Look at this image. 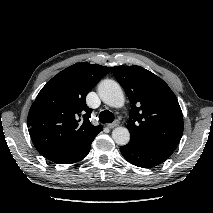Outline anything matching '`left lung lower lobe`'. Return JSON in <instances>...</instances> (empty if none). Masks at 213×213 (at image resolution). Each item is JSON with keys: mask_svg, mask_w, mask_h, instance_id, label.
<instances>
[{"mask_svg": "<svg viewBox=\"0 0 213 213\" xmlns=\"http://www.w3.org/2000/svg\"><path fill=\"white\" fill-rule=\"evenodd\" d=\"M123 157L135 166L152 168L167 160L170 155L142 146L134 140L120 147Z\"/></svg>", "mask_w": 213, "mask_h": 213, "instance_id": "left-lung-lower-lobe-1", "label": "left lung lower lobe"}]
</instances>
